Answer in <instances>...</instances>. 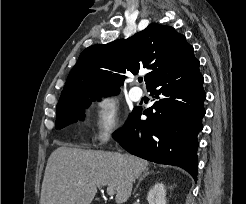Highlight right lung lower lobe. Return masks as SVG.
I'll list each match as a JSON object with an SVG mask.
<instances>
[{
  "mask_svg": "<svg viewBox=\"0 0 246 204\" xmlns=\"http://www.w3.org/2000/svg\"><path fill=\"white\" fill-rule=\"evenodd\" d=\"M148 91L155 98L143 112L134 108L128 121L114 138L129 153L160 164L185 169L197 179V134L203 129L205 115L203 76L196 60L153 82Z\"/></svg>",
  "mask_w": 246,
  "mask_h": 204,
  "instance_id": "1",
  "label": "right lung lower lobe"
}]
</instances>
